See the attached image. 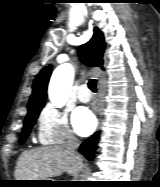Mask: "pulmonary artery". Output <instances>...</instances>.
Listing matches in <instances>:
<instances>
[{"label":"pulmonary artery","instance_id":"obj_1","mask_svg":"<svg viewBox=\"0 0 160 187\" xmlns=\"http://www.w3.org/2000/svg\"><path fill=\"white\" fill-rule=\"evenodd\" d=\"M86 89H87L86 85H82L77 91V98L81 102H88L90 100V94L87 92Z\"/></svg>","mask_w":160,"mask_h":187}]
</instances>
